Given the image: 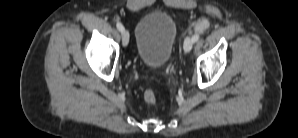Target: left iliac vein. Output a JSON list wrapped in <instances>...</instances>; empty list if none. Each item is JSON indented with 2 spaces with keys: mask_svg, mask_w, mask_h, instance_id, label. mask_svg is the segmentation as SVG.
Here are the masks:
<instances>
[{
  "mask_svg": "<svg viewBox=\"0 0 298 138\" xmlns=\"http://www.w3.org/2000/svg\"><path fill=\"white\" fill-rule=\"evenodd\" d=\"M194 41L195 40H194L193 37H188L187 40H186V43H185L186 48L191 49Z\"/></svg>",
  "mask_w": 298,
  "mask_h": 138,
  "instance_id": "1",
  "label": "left iliac vein"
}]
</instances>
